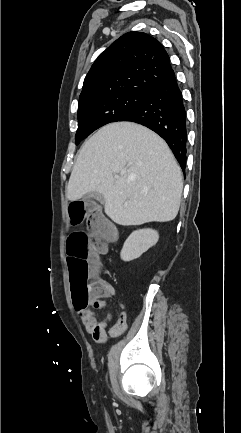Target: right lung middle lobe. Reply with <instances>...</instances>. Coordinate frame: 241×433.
<instances>
[{
  "mask_svg": "<svg viewBox=\"0 0 241 433\" xmlns=\"http://www.w3.org/2000/svg\"><path fill=\"white\" fill-rule=\"evenodd\" d=\"M144 98V92L125 91L79 103L76 144L101 126L120 121L138 108Z\"/></svg>",
  "mask_w": 241,
  "mask_h": 433,
  "instance_id": "right-lung-middle-lobe-1",
  "label": "right lung middle lobe"
}]
</instances>
